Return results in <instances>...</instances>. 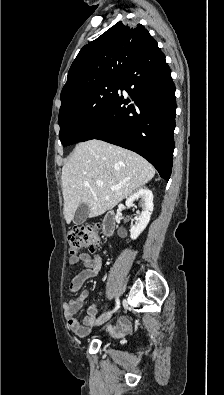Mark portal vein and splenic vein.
I'll list each match as a JSON object with an SVG mask.
<instances>
[{"label": "portal vein and splenic vein", "instance_id": "18ae733b", "mask_svg": "<svg viewBox=\"0 0 224 395\" xmlns=\"http://www.w3.org/2000/svg\"><path fill=\"white\" fill-rule=\"evenodd\" d=\"M96 184H97L99 187L103 186V182H102V181H97ZM120 188H121V186H113V187H111V190H118V189H120Z\"/></svg>", "mask_w": 224, "mask_h": 395}]
</instances>
